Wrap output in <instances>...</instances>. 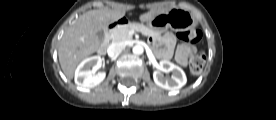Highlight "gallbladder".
<instances>
[{"label": "gallbladder", "instance_id": "1", "mask_svg": "<svg viewBox=\"0 0 276 120\" xmlns=\"http://www.w3.org/2000/svg\"><path fill=\"white\" fill-rule=\"evenodd\" d=\"M97 35H98V37H99L101 40L104 38V34H103L102 31H99V32L97 33Z\"/></svg>", "mask_w": 276, "mask_h": 120}]
</instances>
